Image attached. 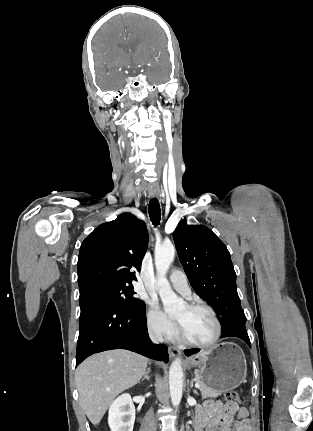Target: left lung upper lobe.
Here are the masks:
<instances>
[{
    "mask_svg": "<svg viewBox=\"0 0 313 431\" xmlns=\"http://www.w3.org/2000/svg\"><path fill=\"white\" fill-rule=\"evenodd\" d=\"M173 238L180 262L195 292L217 313L222 332L245 326L230 253L207 227L181 220Z\"/></svg>",
    "mask_w": 313,
    "mask_h": 431,
    "instance_id": "obj_1",
    "label": "left lung upper lobe"
}]
</instances>
